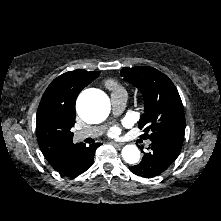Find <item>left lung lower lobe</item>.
<instances>
[{"label": "left lung lower lobe", "mask_w": 221, "mask_h": 221, "mask_svg": "<svg viewBox=\"0 0 221 221\" xmlns=\"http://www.w3.org/2000/svg\"><path fill=\"white\" fill-rule=\"evenodd\" d=\"M149 152L144 153L138 165L129 167L130 171L144 178H152L167 170L178 157L183 141L155 137L150 139Z\"/></svg>", "instance_id": "left-lung-lower-lobe-1"}]
</instances>
